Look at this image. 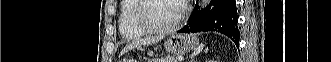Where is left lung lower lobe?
<instances>
[{
	"label": "left lung lower lobe",
	"mask_w": 331,
	"mask_h": 62,
	"mask_svg": "<svg viewBox=\"0 0 331 62\" xmlns=\"http://www.w3.org/2000/svg\"><path fill=\"white\" fill-rule=\"evenodd\" d=\"M197 8L198 0L188 24L178 32L218 31L230 37L235 45L239 46L240 33L237 27L235 0H212L206 9L198 11Z\"/></svg>",
	"instance_id": "1"
}]
</instances>
